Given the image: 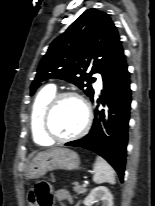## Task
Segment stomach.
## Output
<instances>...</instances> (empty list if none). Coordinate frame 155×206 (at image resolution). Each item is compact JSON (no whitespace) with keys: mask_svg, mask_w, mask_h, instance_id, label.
I'll use <instances>...</instances> for the list:
<instances>
[{"mask_svg":"<svg viewBox=\"0 0 155 206\" xmlns=\"http://www.w3.org/2000/svg\"><path fill=\"white\" fill-rule=\"evenodd\" d=\"M80 166V159L76 152L67 148H54L39 153L30 163L26 176L30 179H37L47 172L56 169L77 170Z\"/></svg>","mask_w":155,"mask_h":206,"instance_id":"0dacf381","label":"stomach"}]
</instances>
